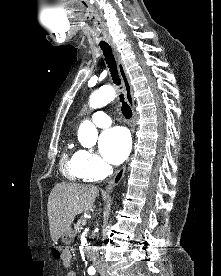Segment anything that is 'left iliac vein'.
<instances>
[{
    "mask_svg": "<svg viewBox=\"0 0 221 276\" xmlns=\"http://www.w3.org/2000/svg\"><path fill=\"white\" fill-rule=\"evenodd\" d=\"M101 276H106V274L105 273H101Z\"/></svg>",
    "mask_w": 221,
    "mask_h": 276,
    "instance_id": "4c4485c4",
    "label": "left iliac vein"
}]
</instances>
